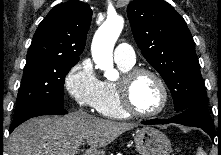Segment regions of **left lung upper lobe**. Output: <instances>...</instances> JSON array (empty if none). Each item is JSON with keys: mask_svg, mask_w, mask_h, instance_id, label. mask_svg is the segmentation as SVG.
Wrapping results in <instances>:
<instances>
[{"mask_svg": "<svg viewBox=\"0 0 221 155\" xmlns=\"http://www.w3.org/2000/svg\"><path fill=\"white\" fill-rule=\"evenodd\" d=\"M127 14L143 56L171 91L175 111L206 105L195 43L184 19L163 0H134Z\"/></svg>", "mask_w": 221, "mask_h": 155, "instance_id": "1", "label": "left lung upper lobe"}]
</instances>
